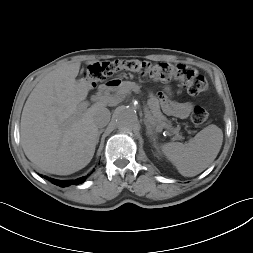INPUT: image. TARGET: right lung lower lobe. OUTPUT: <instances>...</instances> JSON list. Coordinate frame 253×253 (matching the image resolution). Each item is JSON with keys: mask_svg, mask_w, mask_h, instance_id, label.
Masks as SVG:
<instances>
[{"mask_svg": "<svg viewBox=\"0 0 253 253\" xmlns=\"http://www.w3.org/2000/svg\"><path fill=\"white\" fill-rule=\"evenodd\" d=\"M87 178V176L78 178L76 180H72V181H65V180H56V179H48L50 180L53 184L61 186V187H65V186H69V185H78L80 183H83L85 181V179Z\"/></svg>", "mask_w": 253, "mask_h": 253, "instance_id": "obj_1", "label": "right lung lower lobe"}]
</instances>
